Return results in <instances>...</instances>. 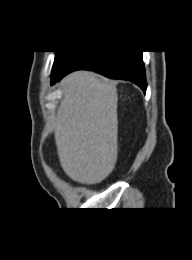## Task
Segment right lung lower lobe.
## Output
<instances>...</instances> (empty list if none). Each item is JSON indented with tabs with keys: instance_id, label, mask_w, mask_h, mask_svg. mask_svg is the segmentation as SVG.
Returning a JSON list of instances; mask_svg holds the SVG:
<instances>
[{
	"instance_id": "98d812e1",
	"label": "right lung lower lobe",
	"mask_w": 192,
	"mask_h": 260,
	"mask_svg": "<svg viewBox=\"0 0 192 260\" xmlns=\"http://www.w3.org/2000/svg\"><path fill=\"white\" fill-rule=\"evenodd\" d=\"M91 70L111 79L128 80L146 91L142 51H87L78 53L57 75L52 84L75 70Z\"/></svg>"
}]
</instances>
